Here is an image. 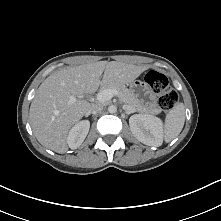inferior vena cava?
<instances>
[{
    "instance_id": "obj_1",
    "label": "inferior vena cava",
    "mask_w": 221,
    "mask_h": 221,
    "mask_svg": "<svg viewBox=\"0 0 221 221\" xmlns=\"http://www.w3.org/2000/svg\"><path fill=\"white\" fill-rule=\"evenodd\" d=\"M102 110H103L102 105L94 104V105L91 106V109H90L89 113L96 114V113H100Z\"/></svg>"
}]
</instances>
